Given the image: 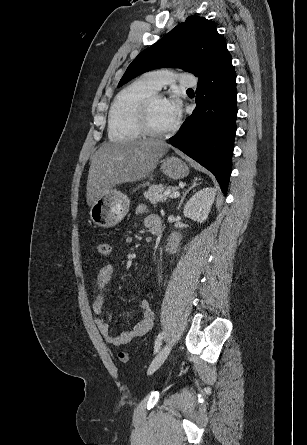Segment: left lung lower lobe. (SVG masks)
<instances>
[{"instance_id": "0a47b994", "label": "left lung lower lobe", "mask_w": 307, "mask_h": 445, "mask_svg": "<svg viewBox=\"0 0 307 445\" xmlns=\"http://www.w3.org/2000/svg\"><path fill=\"white\" fill-rule=\"evenodd\" d=\"M236 73L231 55L199 77L197 106L170 143L210 170L227 193L236 133Z\"/></svg>"}]
</instances>
